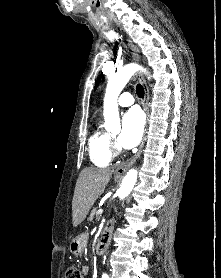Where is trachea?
I'll return each instance as SVG.
<instances>
[{
    "label": "trachea",
    "instance_id": "1",
    "mask_svg": "<svg viewBox=\"0 0 221 278\" xmlns=\"http://www.w3.org/2000/svg\"><path fill=\"white\" fill-rule=\"evenodd\" d=\"M136 93H137V95H138L140 98H143V97H144L145 92H144V88L142 87L141 84H137V86H136Z\"/></svg>",
    "mask_w": 221,
    "mask_h": 278
}]
</instances>
